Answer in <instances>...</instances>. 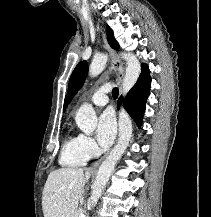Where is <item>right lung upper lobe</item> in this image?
Wrapping results in <instances>:
<instances>
[{
	"label": "right lung upper lobe",
	"mask_w": 211,
	"mask_h": 217,
	"mask_svg": "<svg viewBox=\"0 0 211 217\" xmlns=\"http://www.w3.org/2000/svg\"><path fill=\"white\" fill-rule=\"evenodd\" d=\"M65 108H66V100H65V103H64V108H63V110L65 111Z\"/></svg>",
	"instance_id": "obj_1"
}]
</instances>
